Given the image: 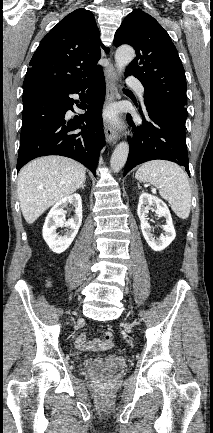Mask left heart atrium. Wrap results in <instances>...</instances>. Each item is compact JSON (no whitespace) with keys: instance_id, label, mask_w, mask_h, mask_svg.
<instances>
[{"instance_id":"left-heart-atrium-1","label":"left heart atrium","mask_w":213,"mask_h":433,"mask_svg":"<svg viewBox=\"0 0 213 433\" xmlns=\"http://www.w3.org/2000/svg\"><path fill=\"white\" fill-rule=\"evenodd\" d=\"M107 115H108L109 117H113V115H114V111H109Z\"/></svg>"}]
</instances>
